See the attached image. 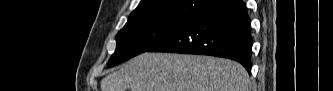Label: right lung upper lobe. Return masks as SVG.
Instances as JSON below:
<instances>
[{"label":"right lung upper lobe","mask_w":333,"mask_h":91,"mask_svg":"<svg viewBox=\"0 0 333 91\" xmlns=\"http://www.w3.org/2000/svg\"><path fill=\"white\" fill-rule=\"evenodd\" d=\"M205 0H142L129 19L147 16L195 17L205 9ZM217 1V0H215Z\"/></svg>","instance_id":"obj_1"}]
</instances>
